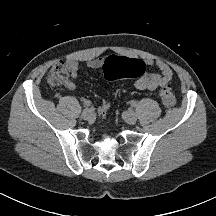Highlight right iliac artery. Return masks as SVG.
I'll return each instance as SVG.
<instances>
[{
  "mask_svg": "<svg viewBox=\"0 0 216 216\" xmlns=\"http://www.w3.org/2000/svg\"><path fill=\"white\" fill-rule=\"evenodd\" d=\"M91 104H92L91 101L86 100L83 105H84V107H90Z\"/></svg>",
  "mask_w": 216,
  "mask_h": 216,
  "instance_id": "82829eb1",
  "label": "right iliac artery"
}]
</instances>
